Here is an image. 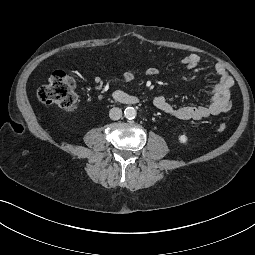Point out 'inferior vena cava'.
Here are the masks:
<instances>
[{"label":"inferior vena cava","instance_id":"obj_1","mask_svg":"<svg viewBox=\"0 0 255 255\" xmlns=\"http://www.w3.org/2000/svg\"><path fill=\"white\" fill-rule=\"evenodd\" d=\"M122 116V110L120 108L114 107L109 111V117L112 120H119Z\"/></svg>","mask_w":255,"mask_h":255}]
</instances>
